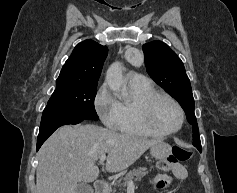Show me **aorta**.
<instances>
[{"label":"aorta","mask_w":237,"mask_h":193,"mask_svg":"<svg viewBox=\"0 0 237 193\" xmlns=\"http://www.w3.org/2000/svg\"><path fill=\"white\" fill-rule=\"evenodd\" d=\"M106 81L113 91L119 92L123 88V66L120 62H115L109 67L106 74Z\"/></svg>","instance_id":"1"}]
</instances>
